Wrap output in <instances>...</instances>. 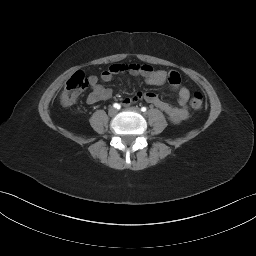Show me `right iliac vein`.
<instances>
[{
    "label": "right iliac vein",
    "mask_w": 256,
    "mask_h": 256,
    "mask_svg": "<svg viewBox=\"0 0 256 256\" xmlns=\"http://www.w3.org/2000/svg\"><path fill=\"white\" fill-rule=\"evenodd\" d=\"M108 114L109 116L113 117L117 114V110L113 107H111L109 110H108Z\"/></svg>",
    "instance_id": "1"
}]
</instances>
